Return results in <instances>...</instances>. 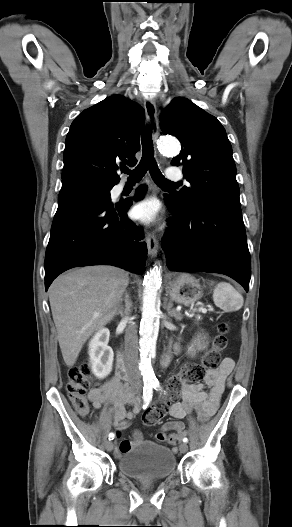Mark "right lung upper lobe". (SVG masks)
Segmentation results:
<instances>
[{"instance_id": "cb5924a9", "label": "right lung upper lobe", "mask_w": 292, "mask_h": 527, "mask_svg": "<svg viewBox=\"0 0 292 527\" xmlns=\"http://www.w3.org/2000/svg\"><path fill=\"white\" fill-rule=\"evenodd\" d=\"M144 109L112 95L84 110L72 122L65 141L62 182L87 178L115 185L119 163H137Z\"/></svg>"}]
</instances>
